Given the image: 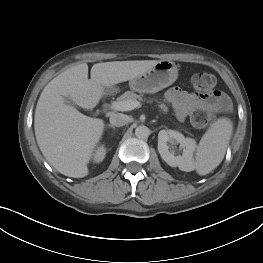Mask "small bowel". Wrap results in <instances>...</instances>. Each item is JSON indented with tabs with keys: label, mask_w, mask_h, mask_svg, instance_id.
<instances>
[{
	"label": "small bowel",
	"mask_w": 263,
	"mask_h": 263,
	"mask_svg": "<svg viewBox=\"0 0 263 263\" xmlns=\"http://www.w3.org/2000/svg\"><path fill=\"white\" fill-rule=\"evenodd\" d=\"M165 99L173 107L180 120L185 119L196 108L208 107L215 109L224 108L227 105L224 95L218 91L211 96L202 97L179 87H172L167 90Z\"/></svg>",
	"instance_id": "small-bowel-1"
}]
</instances>
